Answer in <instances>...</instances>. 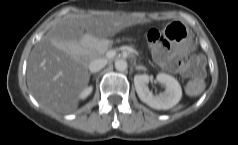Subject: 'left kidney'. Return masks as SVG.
Here are the masks:
<instances>
[{
	"instance_id": "obj_1",
	"label": "left kidney",
	"mask_w": 238,
	"mask_h": 145,
	"mask_svg": "<svg viewBox=\"0 0 238 145\" xmlns=\"http://www.w3.org/2000/svg\"><path fill=\"white\" fill-rule=\"evenodd\" d=\"M156 79L166 87V91L158 96H154L149 91L147 84L150 78L147 74L136 75L134 77V85L140 100L158 110L170 109L178 104L182 97V89L179 82L174 77L165 73H159Z\"/></svg>"
}]
</instances>
